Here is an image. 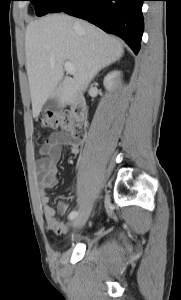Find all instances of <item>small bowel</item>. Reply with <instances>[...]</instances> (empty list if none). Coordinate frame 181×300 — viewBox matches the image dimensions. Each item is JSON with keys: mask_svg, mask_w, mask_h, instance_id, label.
Returning a JSON list of instances; mask_svg holds the SVG:
<instances>
[{"mask_svg": "<svg viewBox=\"0 0 181 300\" xmlns=\"http://www.w3.org/2000/svg\"><path fill=\"white\" fill-rule=\"evenodd\" d=\"M66 145L69 146L73 154H77L80 150L78 142L68 140L62 133L51 134L46 143L40 147V158L36 166V181L39 186L38 197L42 205L44 218L48 227L57 234L65 233L68 226L56 217V211L50 206L47 190L57 185V163L60 160L62 149ZM67 207L66 202H60L58 212L64 213Z\"/></svg>", "mask_w": 181, "mask_h": 300, "instance_id": "small-bowel-1", "label": "small bowel"}]
</instances>
